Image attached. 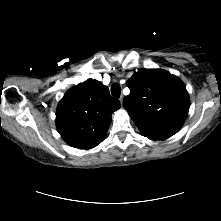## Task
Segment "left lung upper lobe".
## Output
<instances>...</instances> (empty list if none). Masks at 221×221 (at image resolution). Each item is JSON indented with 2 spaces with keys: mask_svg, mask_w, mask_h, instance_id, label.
<instances>
[{
  "mask_svg": "<svg viewBox=\"0 0 221 221\" xmlns=\"http://www.w3.org/2000/svg\"><path fill=\"white\" fill-rule=\"evenodd\" d=\"M123 106L141 134L153 140L174 135L187 117L190 101L184 83L165 70L142 69L127 81Z\"/></svg>",
  "mask_w": 221,
  "mask_h": 221,
  "instance_id": "5c2ea615",
  "label": "left lung upper lobe"
}]
</instances>
